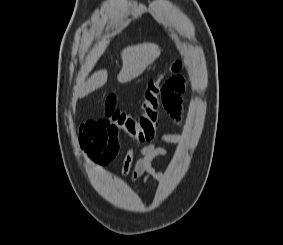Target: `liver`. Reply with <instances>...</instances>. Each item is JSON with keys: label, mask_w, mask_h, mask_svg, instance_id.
<instances>
[{"label": "liver", "mask_w": 283, "mask_h": 245, "mask_svg": "<svg viewBox=\"0 0 283 245\" xmlns=\"http://www.w3.org/2000/svg\"><path fill=\"white\" fill-rule=\"evenodd\" d=\"M159 55L160 48L154 43H143L126 47L121 52L122 69L118 74V81L126 83L137 78ZM107 78V70L95 72L80 90V96H85L102 87L107 82Z\"/></svg>", "instance_id": "1"}]
</instances>
